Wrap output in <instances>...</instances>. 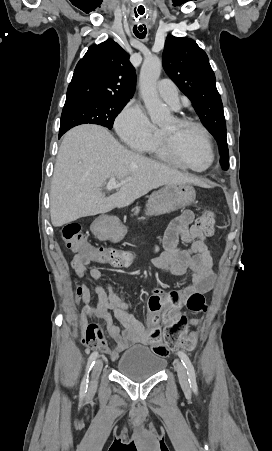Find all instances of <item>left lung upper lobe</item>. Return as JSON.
<instances>
[{"instance_id": "left-lung-upper-lobe-1", "label": "left lung upper lobe", "mask_w": 272, "mask_h": 451, "mask_svg": "<svg viewBox=\"0 0 272 451\" xmlns=\"http://www.w3.org/2000/svg\"><path fill=\"white\" fill-rule=\"evenodd\" d=\"M163 67L181 91L193 102L195 110L219 145L220 163L229 167L226 122L215 74L207 54L186 37L168 36L163 52Z\"/></svg>"}]
</instances>
